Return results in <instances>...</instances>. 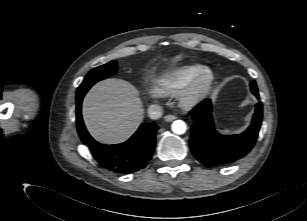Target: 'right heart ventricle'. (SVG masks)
I'll use <instances>...</instances> for the list:
<instances>
[{"mask_svg": "<svg viewBox=\"0 0 307 221\" xmlns=\"http://www.w3.org/2000/svg\"><path fill=\"white\" fill-rule=\"evenodd\" d=\"M201 64H183L176 66L153 80L152 93L158 96L172 95L194 80L204 69Z\"/></svg>", "mask_w": 307, "mask_h": 221, "instance_id": "right-heart-ventricle-1", "label": "right heart ventricle"}]
</instances>
